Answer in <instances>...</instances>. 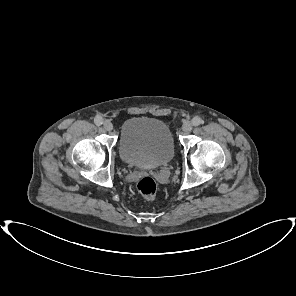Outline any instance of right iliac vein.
<instances>
[{
  "label": "right iliac vein",
  "instance_id": "right-iliac-vein-1",
  "mask_svg": "<svg viewBox=\"0 0 296 296\" xmlns=\"http://www.w3.org/2000/svg\"><path fill=\"white\" fill-rule=\"evenodd\" d=\"M103 127L107 131H111L113 129V124L109 120H105L104 123H103Z\"/></svg>",
  "mask_w": 296,
  "mask_h": 296
}]
</instances>
